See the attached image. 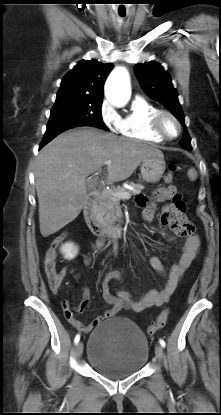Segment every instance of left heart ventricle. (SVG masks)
Segmentation results:
<instances>
[{
  "mask_svg": "<svg viewBox=\"0 0 221 415\" xmlns=\"http://www.w3.org/2000/svg\"><path fill=\"white\" fill-rule=\"evenodd\" d=\"M163 127L169 135H175L177 132V126L171 118H164Z\"/></svg>",
  "mask_w": 221,
  "mask_h": 415,
  "instance_id": "b2bd125f",
  "label": "left heart ventricle"
}]
</instances>
